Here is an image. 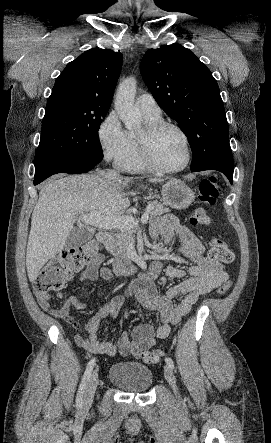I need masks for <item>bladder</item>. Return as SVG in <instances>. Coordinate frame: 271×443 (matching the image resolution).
Instances as JSON below:
<instances>
[{"label":"bladder","mask_w":271,"mask_h":443,"mask_svg":"<svg viewBox=\"0 0 271 443\" xmlns=\"http://www.w3.org/2000/svg\"><path fill=\"white\" fill-rule=\"evenodd\" d=\"M108 378L117 387L133 393L146 392L153 383L151 370L135 361L114 363L109 369Z\"/></svg>","instance_id":"1"}]
</instances>
